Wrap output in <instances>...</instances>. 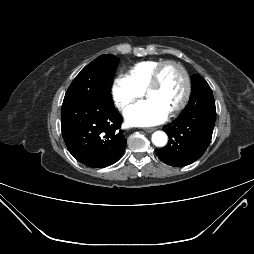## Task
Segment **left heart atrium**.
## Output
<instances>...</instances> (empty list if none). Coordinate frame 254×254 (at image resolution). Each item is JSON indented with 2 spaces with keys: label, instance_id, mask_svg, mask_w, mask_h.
<instances>
[{
  "label": "left heart atrium",
  "instance_id": "1",
  "mask_svg": "<svg viewBox=\"0 0 254 254\" xmlns=\"http://www.w3.org/2000/svg\"><path fill=\"white\" fill-rule=\"evenodd\" d=\"M168 113L156 101L148 99L127 107L124 117L130 125L150 126L163 122Z\"/></svg>",
  "mask_w": 254,
  "mask_h": 254
}]
</instances>
